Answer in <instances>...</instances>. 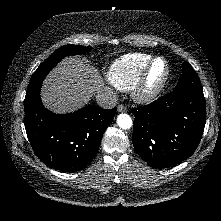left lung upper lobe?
Segmentation results:
<instances>
[{
	"mask_svg": "<svg viewBox=\"0 0 221 221\" xmlns=\"http://www.w3.org/2000/svg\"><path fill=\"white\" fill-rule=\"evenodd\" d=\"M183 73L174 88L173 92H189L197 95H203L202 86L199 77L192 66L185 62L183 64Z\"/></svg>",
	"mask_w": 221,
	"mask_h": 221,
	"instance_id": "5c2ea615",
	"label": "left lung upper lobe"
}]
</instances>
